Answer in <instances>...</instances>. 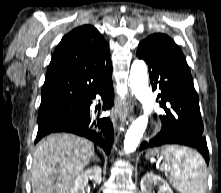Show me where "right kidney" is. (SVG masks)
Segmentation results:
<instances>
[{"instance_id":"ca27d5eb","label":"right kidney","mask_w":221,"mask_h":193,"mask_svg":"<svg viewBox=\"0 0 221 193\" xmlns=\"http://www.w3.org/2000/svg\"><path fill=\"white\" fill-rule=\"evenodd\" d=\"M101 168L99 166H94L88 170L82 172L74 181L73 187L70 193H85V186L88 183V178H91L95 183H101Z\"/></svg>"}]
</instances>
